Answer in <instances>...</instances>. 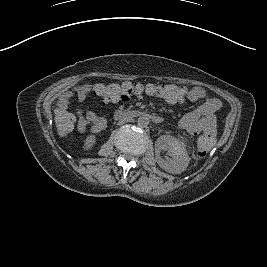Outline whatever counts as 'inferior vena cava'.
<instances>
[{"instance_id":"602c4592","label":"inferior vena cava","mask_w":267,"mask_h":267,"mask_svg":"<svg viewBox=\"0 0 267 267\" xmlns=\"http://www.w3.org/2000/svg\"><path fill=\"white\" fill-rule=\"evenodd\" d=\"M130 121V119H121L120 121H118V125H123L124 123H127V122H129Z\"/></svg>"}]
</instances>
